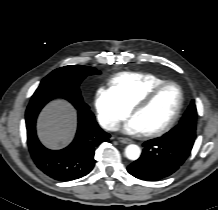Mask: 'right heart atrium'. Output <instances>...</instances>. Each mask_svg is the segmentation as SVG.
<instances>
[{"instance_id":"d8ad5b80","label":"right heart atrium","mask_w":218,"mask_h":210,"mask_svg":"<svg viewBox=\"0 0 218 210\" xmlns=\"http://www.w3.org/2000/svg\"><path fill=\"white\" fill-rule=\"evenodd\" d=\"M94 106L101 125L109 131L117 130L131 112L110 88L104 87L97 90Z\"/></svg>"}]
</instances>
